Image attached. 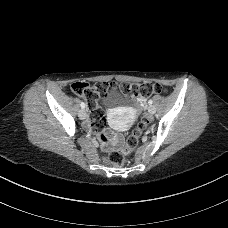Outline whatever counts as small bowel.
I'll use <instances>...</instances> for the list:
<instances>
[{
	"instance_id": "obj_1",
	"label": "small bowel",
	"mask_w": 228,
	"mask_h": 228,
	"mask_svg": "<svg viewBox=\"0 0 228 228\" xmlns=\"http://www.w3.org/2000/svg\"><path fill=\"white\" fill-rule=\"evenodd\" d=\"M139 105L141 107L144 106L142 100L139 101ZM114 124L117 128L125 129L129 125V122H126L123 127H121L117 122ZM87 127H91V121L87 123ZM99 140L101 141L102 148L107 151L114 147H121L124 143V136L112 129L107 128L102 134L99 135Z\"/></svg>"
}]
</instances>
